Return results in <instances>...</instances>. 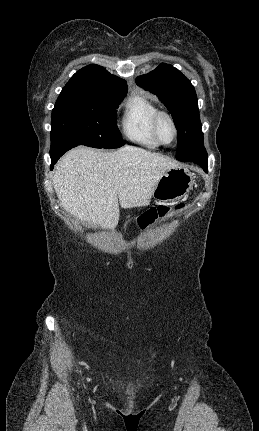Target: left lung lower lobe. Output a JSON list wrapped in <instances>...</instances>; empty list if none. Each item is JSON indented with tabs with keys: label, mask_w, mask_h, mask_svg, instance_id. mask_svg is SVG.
<instances>
[{
	"label": "left lung lower lobe",
	"mask_w": 259,
	"mask_h": 431,
	"mask_svg": "<svg viewBox=\"0 0 259 431\" xmlns=\"http://www.w3.org/2000/svg\"><path fill=\"white\" fill-rule=\"evenodd\" d=\"M207 161H208V157H205L203 159H199V160H195L194 163L200 165L205 172H207Z\"/></svg>",
	"instance_id": "left-lung-lower-lobe-1"
}]
</instances>
